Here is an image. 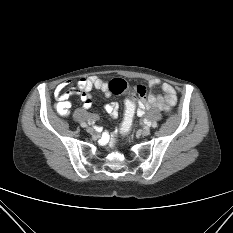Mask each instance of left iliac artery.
<instances>
[{
  "label": "left iliac artery",
  "instance_id": "obj_1",
  "mask_svg": "<svg viewBox=\"0 0 233 233\" xmlns=\"http://www.w3.org/2000/svg\"><path fill=\"white\" fill-rule=\"evenodd\" d=\"M152 127H153V128H156V127H157V123H156V122H153V123H152Z\"/></svg>",
  "mask_w": 233,
  "mask_h": 233
}]
</instances>
